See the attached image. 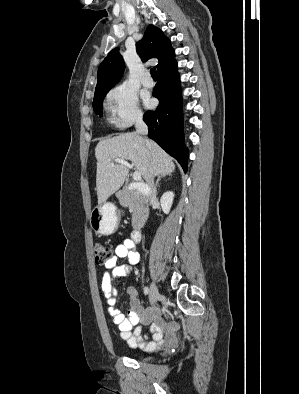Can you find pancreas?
<instances>
[{"mask_svg": "<svg viewBox=\"0 0 299 394\" xmlns=\"http://www.w3.org/2000/svg\"><path fill=\"white\" fill-rule=\"evenodd\" d=\"M121 203L124 206L129 207L132 212V226L136 228L138 226L137 221L147 213L145 203L137 191L131 193H120Z\"/></svg>", "mask_w": 299, "mask_h": 394, "instance_id": "obj_1", "label": "pancreas"}]
</instances>
